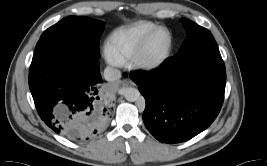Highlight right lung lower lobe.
Listing matches in <instances>:
<instances>
[{
    "label": "right lung lower lobe",
    "instance_id": "right-lung-lower-lobe-1",
    "mask_svg": "<svg viewBox=\"0 0 267 166\" xmlns=\"http://www.w3.org/2000/svg\"><path fill=\"white\" fill-rule=\"evenodd\" d=\"M98 57L60 37L38 41L29 87L38 114L56 133L83 141L102 131L111 110L104 101Z\"/></svg>",
    "mask_w": 267,
    "mask_h": 166
}]
</instances>
